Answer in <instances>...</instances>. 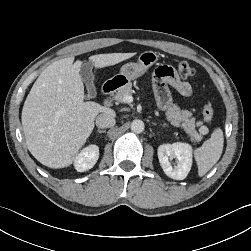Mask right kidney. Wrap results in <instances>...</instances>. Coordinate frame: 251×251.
<instances>
[{"label": "right kidney", "mask_w": 251, "mask_h": 251, "mask_svg": "<svg viewBox=\"0 0 251 251\" xmlns=\"http://www.w3.org/2000/svg\"><path fill=\"white\" fill-rule=\"evenodd\" d=\"M99 158V148L97 145H89L84 148L74 160L75 169L84 172L91 169Z\"/></svg>", "instance_id": "1"}]
</instances>
